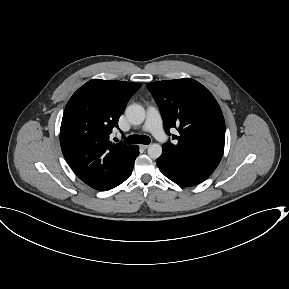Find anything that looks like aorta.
Masks as SVG:
<instances>
[{
    "instance_id": "obj_1",
    "label": "aorta",
    "mask_w": 289,
    "mask_h": 289,
    "mask_svg": "<svg viewBox=\"0 0 289 289\" xmlns=\"http://www.w3.org/2000/svg\"><path fill=\"white\" fill-rule=\"evenodd\" d=\"M128 121L133 125L142 124L145 120V109L139 104L129 105L125 110ZM148 155L152 159H157L162 154V147L158 143H153L148 147Z\"/></svg>"
}]
</instances>
